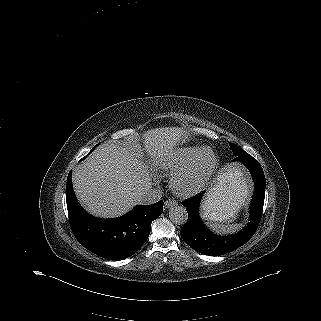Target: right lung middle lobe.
I'll use <instances>...</instances> for the list:
<instances>
[{"mask_svg": "<svg viewBox=\"0 0 321 321\" xmlns=\"http://www.w3.org/2000/svg\"><path fill=\"white\" fill-rule=\"evenodd\" d=\"M95 147H96V146H95ZM95 147L92 148V150L90 151V153L94 150ZM85 157H86V156H85ZM85 157H84V158H85ZM84 158H83V159H84Z\"/></svg>", "mask_w": 321, "mask_h": 321, "instance_id": "1", "label": "right lung middle lobe"}]
</instances>
